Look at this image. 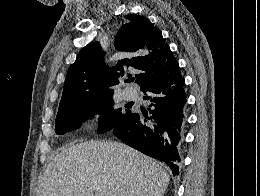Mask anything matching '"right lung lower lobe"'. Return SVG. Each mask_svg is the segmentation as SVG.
<instances>
[{
    "label": "right lung lower lobe",
    "instance_id": "1",
    "mask_svg": "<svg viewBox=\"0 0 260 196\" xmlns=\"http://www.w3.org/2000/svg\"><path fill=\"white\" fill-rule=\"evenodd\" d=\"M150 101L147 113H134L113 129L125 144L161 160L179 174L183 144L185 80L178 70L170 77L146 85L141 89Z\"/></svg>",
    "mask_w": 260,
    "mask_h": 196
}]
</instances>
